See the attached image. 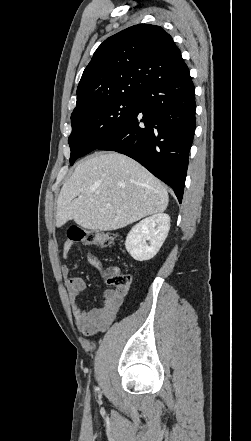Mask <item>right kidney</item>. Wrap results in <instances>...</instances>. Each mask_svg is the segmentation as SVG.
<instances>
[{"label": "right kidney", "mask_w": 251, "mask_h": 441, "mask_svg": "<svg viewBox=\"0 0 251 441\" xmlns=\"http://www.w3.org/2000/svg\"><path fill=\"white\" fill-rule=\"evenodd\" d=\"M169 229V215L154 214L133 226L126 237L125 248L136 261L150 260L160 250Z\"/></svg>", "instance_id": "obj_1"}]
</instances>
